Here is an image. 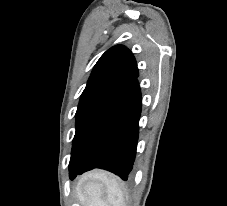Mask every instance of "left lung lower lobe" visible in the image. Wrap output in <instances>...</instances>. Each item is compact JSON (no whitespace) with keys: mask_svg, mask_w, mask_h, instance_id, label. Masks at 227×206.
Wrapping results in <instances>:
<instances>
[{"mask_svg":"<svg viewBox=\"0 0 227 206\" xmlns=\"http://www.w3.org/2000/svg\"><path fill=\"white\" fill-rule=\"evenodd\" d=\"M141 106V91L136 77L104 110L85 157L69 168L70 179L97 167L127 180L136 155Z\"/></svg>","mask_w":227,"mask_h":206,"instance_id":"1","label":"left lung lower lobe"}]
</instances>
